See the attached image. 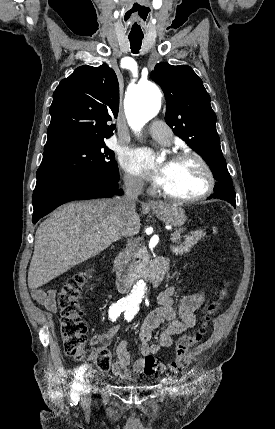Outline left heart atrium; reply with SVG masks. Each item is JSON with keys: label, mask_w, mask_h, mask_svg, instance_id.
Returning <instances> with one entry per match:
<instances>
[{"label": "left heart atrium", "mask_w": 275, "mask_h": 429, "mask_svg": "<svg viewBox=\"0 0 275 429\" xmlns=\"http://www.w3.org/2000/svg\"><path fill=\"white\" fill-rule=\"evenodd\" d=\"M123 165L129 170L149 178L154 184L162 186L164 174L161 168H156L151 153L145 149L127 151L122 156Z\"/></svg>", "instance_id": "obj_1"}]
</instances>
